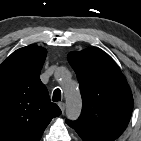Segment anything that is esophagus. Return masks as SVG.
Segmentation results:
<instances>
[{"label":"esophagus","instance_id":"obj_1","mask_svg":"<svg viewBox=\"0 0 141 141\" xmlns=\"http://www.w3.org/2000/svg\"><path fill=\"white\" fill-rule=\"evenodd\" d=\"M58 106L60 107L62 113H64L65 107H66V106H65V103H64V102H59V103H58Z\"/></svg>","mask_w":141,"mask_h":141}]
</instances>
